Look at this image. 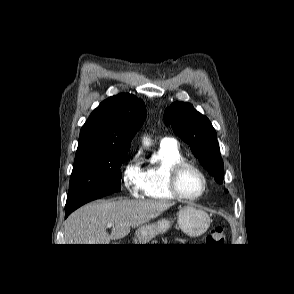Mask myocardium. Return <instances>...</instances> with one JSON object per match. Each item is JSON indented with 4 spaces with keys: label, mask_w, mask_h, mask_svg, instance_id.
Masks as SVG:
<instances>
[{
    "label": "myocardium",
    "mask_w": 294,
    "mask_h": 294,
    "mask_svg": "<svg viewBox=\"0 0 294 294\" xmlns=\"http://www.w3.org/2000/svg\"><path fill=\"white\" fill-rule=\"evenodd\" d=\"M187 168L194 170L196 173H198V175L202 179V183H203L202 189L195 196H187V195L183 194L179 188V177H180L181 173ZM207 186H208V180H207L205 173L203 172V170L200 167H198L192 161H188V160H184V159L177 161L171 166V168L169 170L168 187H169V190L171 191V193L178 199H181L184 201H196V200L200 199L205 194Z\"/></svg>",
    "instance_id": "obj_1"
}]
</instances>
